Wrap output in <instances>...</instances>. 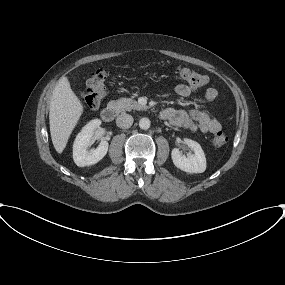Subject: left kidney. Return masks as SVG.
Returning a JSON list of instances; mask_svg holds the SVG:
<instances>
[{
	"label": "left kidney",
	"instance_id": "1",
	"mask_svg": "<svg viewBox=\"0 0 285 285\" xmlns=\"http://www.w3.org/2000/svg\"><path fill=\"white\" fill-rule=\"evenodd\" d=\"M184 142L194 154L184 156L179 149L174 148L171 152L174 165L188 173H203L206 170V158L200 144L191 139H185Z\"/></svg>",
	"mask_w": 285,
	"mask_h": 285
}]
</instances>
